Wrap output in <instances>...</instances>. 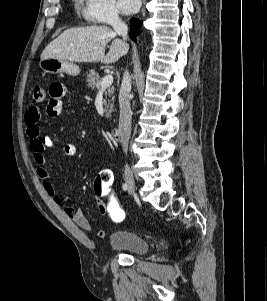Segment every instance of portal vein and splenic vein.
<instances>
[{
	"instance_id": "18ae733b",
	"label": "portal vein and splenic vein",
	"mask_w": 267,
	"mask_h": 301,
	"mask_svg": "<svg viewBox=\"0 0 267 301\" xmlns=\"http://www.w3.org/2000/svg\"><path fill=\"white\" fill-rule=\"evenodd\" d=\"M112 83H113V76H112V74H107V75L103 78V80H102V82H101V89H106V88H108L109 86L112 85Z\"/></svg>"
}]
</instances>
